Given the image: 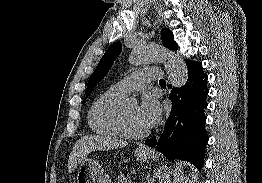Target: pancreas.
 Wrapping results in <instances>:
<instances>
[{
    "label": "pancreas",
    "instance_id": "pancreas-1",
    "mask_svg": "<svg viewBox=\"0 0 262 183\" xmlns=\"http://www.w3.org/2000/svg\"><path fill=\"white\" fill-rule=\"evenodd\" d=\"M115 183H132L131 176L122 174L118 176Z\"/></svg>",
    "mask_w": 262,
    "mask_h": 183
}]
</instances>
